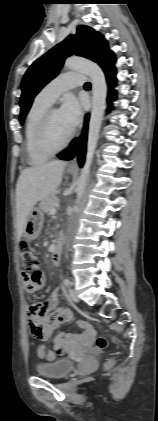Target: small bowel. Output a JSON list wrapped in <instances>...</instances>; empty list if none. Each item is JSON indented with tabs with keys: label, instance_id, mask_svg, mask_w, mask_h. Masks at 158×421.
Returning a JSON list of instances; mask_svg holds the SVG:
<instances>
[{
	"label": "small bowel",
	"instance_id": "small-bowel-1",
	"mask_svg": "<svg viewBox=\"0 0 158 421\" xmlns=\"http://www.w3.org/2000/svg\"><path fill=\"white\" fill-rule=\"evenodd\" d=\"M27 277L28 276L24 274V283L26 282ZM31 278L37 281V289L44 286L45 276L41 271L38 270ZM58 302V291L55 290L45 301L29 305V329L35 339L40 341L48 340L61 324L72 319V313L69 309L57 308ZM53 310L54 312H52ZM59 314H61L62 317H60ZM77 325L83 331L82 335L62 332L54 338L53 345L59 353L63 354L77 341L87 340L91 333L90 325L84 321H78Z\"/></svg>",
	"mask_w": 158,
	"mask_h": 421
}]
</instances>
